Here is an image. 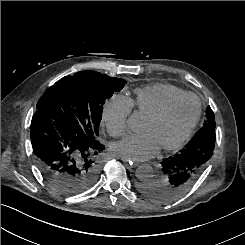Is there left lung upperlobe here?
<instances>
[{
  "instance_id": "left-lung-upper-lobe-1",
  "label": "left lung upper lobe",
  "mask_w": 245,
  "mask_h": 245,
  "mask_svg": "<svg viewBox=\"0 0 245 245\" xmlns=\"http://www.w3.org/2000/svg\"><path fill=\"white\" fill-rule=\"evenodd\" d=\"M206 127H211V128H215L216 127L214 113H213L212 109L210 108V106L207 107L206 120H205L204 125H203L202 128H206Z\"/></svg>"
}]
</instances>
